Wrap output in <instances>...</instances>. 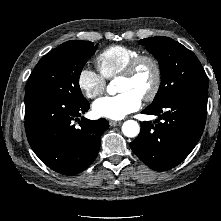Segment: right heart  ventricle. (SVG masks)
I'll return each instance as SVG.
<instances>
[{"label": "right heart ventricle", "mask_w": 221, "mask_h": 221, "mask_svg": "<svg viewBox=\"0 0 221 221\" xmlns=\"http://www.w3.org/2000/svg\"><path fill=\"white\" fill-rule=\"evenodd\" d=\"M141 52L126 45H112L105 48L96 58L100 73L106 79H113L120 75L127 64Z\"/></svg>", "instance_id": "right-heart-ventricle-1"}]
</instances>
